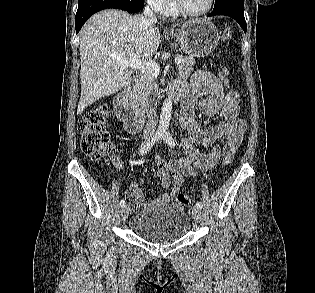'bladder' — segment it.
I'll use <instances>...</instances> for the list:
<instances>
[{
    "mask_svg": "<svg viewBox=\"0 0 315 293\" xmlns=\"http://www.w3.org/2000/svg\"><path fill=\"white\" fill-rule=\"evenodd\" d=\"M130 230L138 237L158 244L182 239L191 227L189 215L176 205H156L143 209L129 221Z\"/></svg>",
    "mask_w": 315,
    "mask_h": 293,
    "instance_id": "bladder-1",
    "label": "bladder"
}]
</instances>
